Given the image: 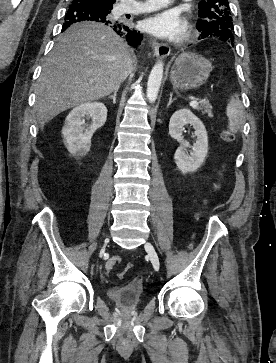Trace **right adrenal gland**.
Returning <instances> with one entry per match:
<instances>
[{"mask_svg":"<svg viewBox=\"0 0 276 363\" xmlns=\"http://www.w3.org/2000/svg\"><path fill=\"white\" fill-rule=\"evenodd\" d=\"M118 89H116L113 93V95L109 96V98H111L113 100V103H116V95H117Z\"/></svg>","mask_w":276,"mask_h":363,"instance_id":"obj_1","label":"right adrenal gland"}]
</instances>
